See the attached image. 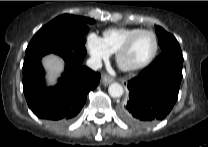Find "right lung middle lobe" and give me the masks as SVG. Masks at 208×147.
<instances>
[{"mask_svg": "<svg viewBox=\"0 0 208 147\" xmlns=\"http://www.w3.org/2000/svg\"><path fill=\"white\" fill-rule=\"evenodd\" d=\"M94 22L93 19L87 17L63 14L44 25L30 42L42 40L61 32L68 33L85 42L84 36L88 32L89 25Z\"/></svg>", "mask_w": 208, "mask_h": 147, "instance_id": "1", "label": "right lung middle lobe"}]
</instances>
